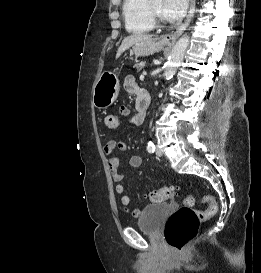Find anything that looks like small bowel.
I'll return each mask as SVG.
<instances>
[{"label": "small bowel", "instance_id": "small-bowel-1", "mask_svg": "<svg viewBox=\"0 0 261 273\" xmlns=\"http://www.w3.org/2000/svg\"><path fill=\"white\" fill-rule=\"evenodd\" d=\"M125 87L127 91L134 93L137 95V98L140 96V92L135 84V81L132 77H127L125 80ZM124 114H127V110L122 108ZM133 121V119H132ZM118 149L121 152L126 151L127 146L121 140H110L108 141L104 147L103 151L105 155L108 157V166L111 173V177L114 182L118 183L116 185V193L121 195L120 203L124 210L129 211L132 216L137 217L140 215V209L129 210L130 204V196L125 194L126 186L121 182L124 179V173L120 170V160L118 157L114 155V151ZM128 164L132 168H137L142 164V158L138 155H133L129 158Z\"/></svg>", "mask_w": 261, "mask_h": 273}]
</instances>
